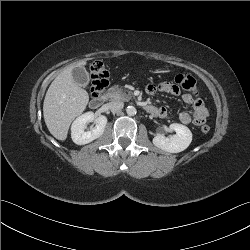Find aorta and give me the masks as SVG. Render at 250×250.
I'll return each instance as SVG.
<instances>
[{
	"mask_svg": "<svg viewBox=\"0 0 250 250\" xmlns=\"http://www.w3.org/2000/svg\"><path fill=\"white\" fill-rule=\"evenodd\" d=\"M126 113L129 116H134L136 114V108L134 106H128L126 109Z\"/></svg>",
	"mask_w": 250,
	"mask_h": 250,
	"instance_id": "1",
	"label": "aorta"
}]
</instances>
